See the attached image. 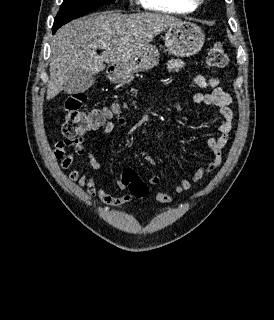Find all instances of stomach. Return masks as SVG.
I'll list each match as a JSON object with an SVG mask.
<instances>
[{"label": "stomach", "mask_w": 274, "mask_h": 320, "mask_svg": "<svg viewBox=\"0 0 274 320\" xmlns=\"http://www.w3.org/2000/svg\"><path fill=\"white\" fill-rule=\"evenodd\" d=\"M204 32L199 26L191 22H178L168 28L165 34V48L168 54L178 58H190L200 52L204 46ZM159 64V52L154 46H147L140 50L137 56L121 62V64H110L107 68V76L111 82L122 84L126 82L131 74L146 72Z\"/></svg>", "instance_id": "stomach-1"}]
</instances>
